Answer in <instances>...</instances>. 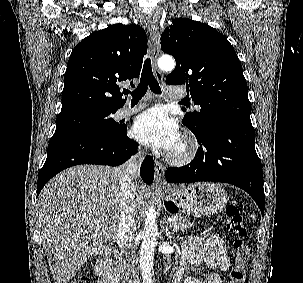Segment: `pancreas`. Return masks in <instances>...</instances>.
I'll return each instance as SVG.
<instances>
[{
	"label": "pancreas",
	"instance_id": "1",
	"mask_svg": "<svg viewBox=\"0 0 303 283\" xmlns=\"http://www.w3.org/2000/svg\"><path fill=\"white\" fill-rule=\"evenodd\" d=\"M171 218H172V224H173V227H172L173 231L187 230L194 225L188 219H186L180 215H173Z\"/></svg>",
	"mask_w": 303,
	"mask_h": 283
}]
</instances>
